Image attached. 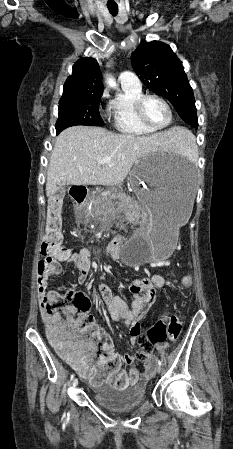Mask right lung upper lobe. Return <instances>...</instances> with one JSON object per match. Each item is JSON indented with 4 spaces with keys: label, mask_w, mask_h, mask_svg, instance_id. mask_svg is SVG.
<instances>
[{
    "label": "right lung upper lobe",
    "mask_w": 233,
    "mask_h": 449,
    "mask_svg": "<svg viewBox=\"0 0 233 449\" xmlns=\"http://www.w3.org/2000/svg\"><path fill=\"white\" fill-rule=\"evenodd\" d=\"M103 93L100 69L96 59L82 58L73 66V73L64 83L62 96Z\"/></svg>",
    "instance_id": "1"
}]
</instances>
